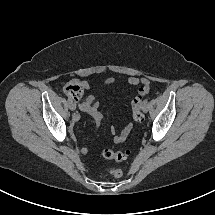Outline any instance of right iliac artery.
<instances>
[{"label":"right iliac artery","instance_id":"obj_1","mask_svg":"<svg viewBox=\"0 0 215 215\" xmlns=\"http://www.w3.org/2000/svg\"><path fill=\"white\" fill-rule=\"evenodd\" d=\"M68 101H69V102H72V100H71L70 98H68Z\"/></svg>","mask_w":215,"mask_h":215}]
</instances>
